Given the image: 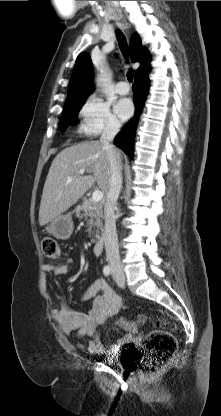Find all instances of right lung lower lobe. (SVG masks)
<instances>
[{"mask_svg": "<svg viewBox=\"0 0 221 416\" xmlns=\"http://www.w3.org/2000/svg\"><path fill=\"white\" fill-rule=\"evenodd\" d=\"M150 71V70H149ZM149 71L140 73L135 76V82L133 84L134 103H135V115L134 117L123 127L120 133L116 136L114 143L117 147L121 148L131 158L133 157V145L137 122L142 112L144 102L146 100L149 90Z\"/></svg>", "mask_w": 221, "mask_h": 416, "instance_id": "1", "label": "right lung lower lobe"}]
</instances>
